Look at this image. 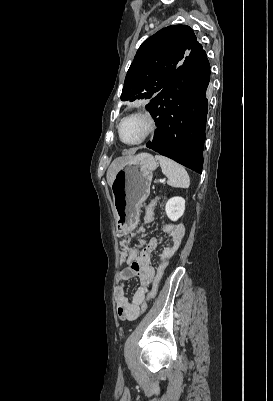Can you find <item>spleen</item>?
Wrapping results in <instances>:
<instances>
[{"label": "spleen", "mask_w": 273, "mask_h": 401, "mask_svg": "<svg viewBox=\"0 0 273 401\" xmlns=\"http://www.w3.org/2000/svg\"><path fill=\"white\" fill-rule=\"evenodd\" d=\"M155 158L159 160L162 172L167 176V182L170 186H181V188L189 186L190 178L184 166L174 162L171 158H167V156H161V154H155Z\"/></svg>", "instance_id": "obj_1"}]
</instances>
